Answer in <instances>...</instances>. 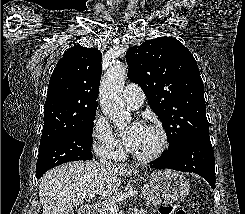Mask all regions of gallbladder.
Returning <instances> with one entry per match:
<instances>
[{"instance_id": "gallbladder-1", "label": "gallbladder", "mask_w": 245, "mask_h": 214, "mask_svg": "<svg viewBox=\"0 0 245 214\" xmlns=\"http://www.w3.org/2000/svg\"><path fill=\"white\" fill-rule=\"evenodd\" d=\"M63 214H74V210L72 208L67 209Z\"/></svg>"}]
</instances>
